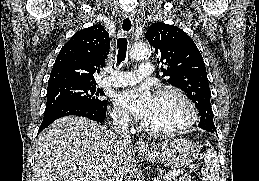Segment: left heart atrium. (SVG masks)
<instances>
[{"label":"left heart atrium","mask_w":259,"mask_h":181,"mask_svg":"<svg viewBox=\"0 0 259 181\" xmlns=\"http://www.w3.org/2000/svg\"><path fill=\"white\" fill-rule=\"evenodd\" d=\"M113 100L119 109L143 121L149 118L155 104V96L146 87L124 89Z\"/></svg>","instance_id":"39dd6f15"}]
</instances>
